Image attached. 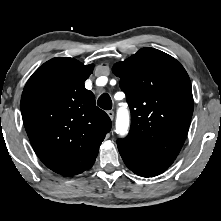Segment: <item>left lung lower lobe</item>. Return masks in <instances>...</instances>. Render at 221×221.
Masks as SVG:
<instances>
[{
  "label": "left lung lower lobe",
  "instance_id": "left-lung-lower-lobe-1",
  "mask_svg": "<svg viewBox=\"0 0 221 221\" xmlns=\"http://www.w3.org/2000/svg\"><path fill=\"white\" fill-rule=\"evenodd\" d=\"M117 145L126 166L142 177L157 176L173 163V160L158 159L145 155L123 140H118Z\"/></svg>",
  "mask_w": 221,
  "mask_h": 221
}]
</instances>
